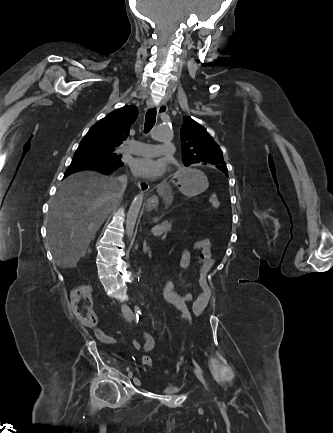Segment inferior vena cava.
Masks as SVG:
<instances>
[{
    "mask_svg": "<svg viewBox=\"0 0 333 433\" xmlns=\"http://www.w3.org/2000/svg\"><path fill=\"white\" fill-rule=\"evenodd\" d=\"M127 187V176L123 175L117 178V189L122 195ZM123 315L128 322H131L134 319V315L132 310L128 306L123 307Z\"/></svg>",
    "mask_w": 333,
    "mask_h": 433,
    "instance_id": "602c4592",
    "label": "inferior vena cava"
}]
</instances>
